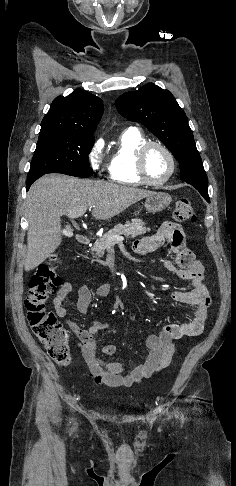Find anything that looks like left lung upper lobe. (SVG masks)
<instances>
[{"label":"left lung upper lobe","mask_w":236,"mask_h":486,"mask_svg":"<svg viewBox=\"0 0 236 486\" xmlns=\"http://www.w3.org/2000/svg\"><path fill=\"white\" fill-rule=\"evenodd\" d=\"M116 108L122 116L142 123L161 140L179 162L181 180L193 185L210 202L207 177L193 133L174 96L149 83L120 96Z\"/></svg>","instance_id":"obj_1"}]
</instances>
